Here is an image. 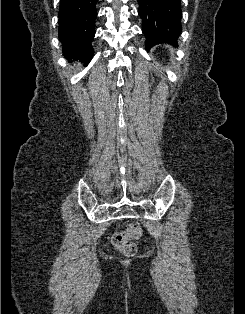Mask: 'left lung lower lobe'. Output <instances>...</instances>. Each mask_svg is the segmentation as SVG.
I'll use <instances>...</instances> for the list:
<instances>
[{
    "label": "left lung lower lobe",
    "instance_id": "1",
    "mask_svg": "<svg viewBox=\"0 0 245 314\" xmlns=\"http://www.w3.org/2000/svg\"><path fill=\"white\" fill-rule=\"evenodd\" d=\"M147 47L175 43L181 28V0H137Z\"/></svg>",
    "mask_w": 245,
    "mask_h": 314
}]
</instances>
